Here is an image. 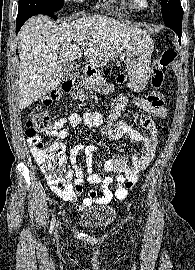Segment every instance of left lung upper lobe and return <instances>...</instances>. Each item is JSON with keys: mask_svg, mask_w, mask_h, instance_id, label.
I'll return each mask as SVG.
<instances>
[{"mask_svg": "<svg viewBox=\"0 0 195 270\" xmlns=\"http://www.w3.org/2000/svg\"><path fill=\"white\" fill-rule=\"evenodd\" d=\"M165 26L171 29L182 28L183 9L180 0H161Z\"/></svg>", "mask_w": 195, "mask_h": 270, "instance_id": "left-lung-upper-lobe-1", "label": "left lung upper lobe"}]
</instances>
